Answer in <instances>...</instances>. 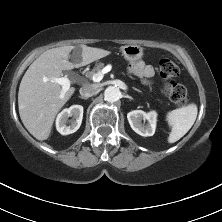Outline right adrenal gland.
I'll return each mask as SVG.
<instances>
[{
  "label": "right adrenal gland",
  "instance_id": "2a0ac1e0",
  "mask_svg": "<svg viewBox=\"0 0 222 222\" xmlns=\"http://www.w3.org/2000/svg\"><path fill=\"white\" fill-rule=\"evenodd\" d=\"M79 98H81V99H85V100H86V98H84V97H82V96H79Z\"/></svg>",
  "mask_w": 222,
  "mask_h": 222
}]
</instances>
